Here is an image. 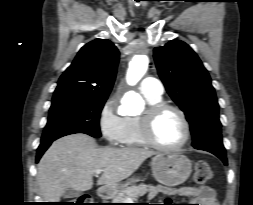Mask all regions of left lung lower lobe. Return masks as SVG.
<instances>
[{
    "mask_svg": "<svg viewBox=\"0 0 253 205\" xmlns=\"http://www.w3.org/2000/svg\"><path fill=\"white\" fill-rule=\"evenodd\" d=\"M211 153L214 154V155H216L217 157H219V158L223 161V163H224L225 165H227L226 155H224V154H219V153H217V152H211Z\"/></svg>",
    "mask_w": 253,
    "mask_h": 205,
    "instance_id": "obj_1",
    "label": "left lung lower lobe"
}]
</instances>
